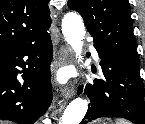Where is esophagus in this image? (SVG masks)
Returning <instances> with one entry per match:
<instances>
[{
    "label": "esophagus",
    "instance_id": "34e87169",
    "mask_svg": "<svg viewBox=\"0 0 145 124\" xmlns=\"http://www.w3.org/2000/svg\"><path fill=\"white\" fill-rule=\"evenodd\" d=\"M71 59V51L65 46H61L58 52L56 59V66L68 65ZM61 95L68 99L74 95L75 85L73 82H70L68 85L60 87Z\"/></svg>",
    "mask_w": 145,
    "mask_h": 124
}]
</instances>
